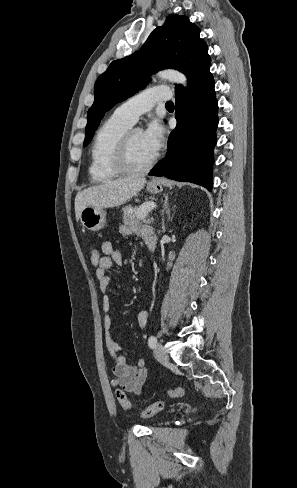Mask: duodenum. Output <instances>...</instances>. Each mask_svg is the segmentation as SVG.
<instances>
[{"mask_svg": "<svg viewBox=\"0 0 297 488\" xmlns=\"http://www.w3.org/2000/svg\"><path fill=\"white\" fill-rule=\"evenodd\" d=\"M150 251H151V252H153V251H154V249H153V248H150Z\"/></svg>", "mask_w": 297, "mask_h": 488, "instance_id": "obj_1", "label": "duodenum"}]
</instances>
